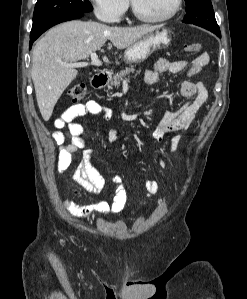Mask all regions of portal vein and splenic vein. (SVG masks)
Returning <instances> with one entry per match:
<instances>
[{
	"mask_svg": "<svg viewBox=\"0 0 247 299\" xmlns=\"http://www.w3.org/2000/svg\"><path fill=\"white\" fill-rule=\"evenodd\" d=\"M91 65H95V66H101L102 65V61L99 60L98 55L93 52L91 53ZM64 65L68 66V67H84L87 66L88 63L87 62H70V63H64Z\"/></svg>",
	"mask_w": 247,
	"mask_h": 299,
	"instance_id": "portal-vein-and-splenic-vein-1",
	"label": "portal vein and splenic vein"
}]
</instances>
